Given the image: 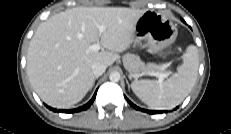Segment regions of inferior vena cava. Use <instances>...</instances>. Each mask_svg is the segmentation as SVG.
Segmentation results:
<instances>
[{
    "instance_id": "obj_1",
    "label": "inferior vena cava",
    "mask_w": 231,
    "mask_h": 134,
    "mask_svg": "<svg viewBox=\"0 0 231 134\" xmlns=\"http://www.w3.org/2000/svg\"><path fill=\"white\" fill-rule=\"evenodd\" d=\"M106 70V65L100 62H96L92 65V72L94 76H101Z\"/></svg>"
}]
</instances>
